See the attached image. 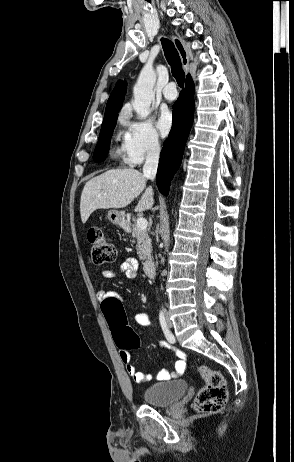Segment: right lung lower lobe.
<instances>
[{"instance_id": "right-lung-lower-lobe-1", "label": "right lung lower lobe", "mask_w": 294, "mask_h": 462, "mask_svg": "<svg viewBox=\"0 0 294 462\" xmlns=\"http://www.w3.org/2000/svg\"><path fill=\"white\" fill-rule=\"evenodd\" d=\"M194 84L187 76L186 87L173 106V123L168 139L161 151L156 183L160 192L168 194L171 180L178 170L183 156L184 147L193 123Z\"/></svg>"}]
</instances>
